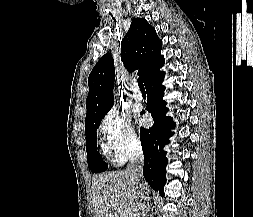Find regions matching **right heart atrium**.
Instances as JSON below:
<instances>
[{
    "mask_svg": "<svg viewBox=\"0 0 253 217\" xmlns=\"http://www.w3.org/2000/svg\"><path fill=\"white\" fill-rule=\"evenodd\" d=\"M99 133L105 139L115 161L119 163L125 161L139 145V138L129 115L117 108L104 115L99 124Z\"/></svg>",
    "mask_w": 253,
    "mask_h": 217,
    "instance_id": "obj_1",
    "label": "right heart atrium"
}]
</instances>
